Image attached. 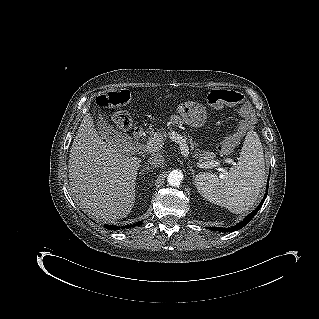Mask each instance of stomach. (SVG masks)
Here are the masks:
<instances>
[{"mask_svg":"<svg viewBox=\"0 0 319 319\" xmlns=\"http://www.w3.org/2000/svg\"><path fill=\"white\" fill-rule=\"evenodd\" d=\"M180 115L185 123L193 127H202L206 122V111L201 106L185 103L180 107Z\"/></svg>","mask_w":319,"mask_h":319,"instance_id":"1","label":"stomach"}]
</instances>
